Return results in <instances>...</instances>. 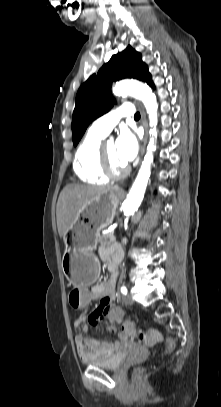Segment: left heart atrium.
Masks as SVG:
<instances>
[{
    "label": "left heart atrium",
    "mask_w": 221,
    "mask_h": 407,
    "mask_svg": "<svg viewBox=\"0 0 221 407\" xmlns=\"http://www.w3.org/2000/svg\"><path fill=\"white\" fill-rule=\"evenodd\" d=\"M115 145L117 157L124 165L134 160L138 152V142L133 133L123 129Z\"/></svg>",
    "instance_id": "1"
}]
</instances>
